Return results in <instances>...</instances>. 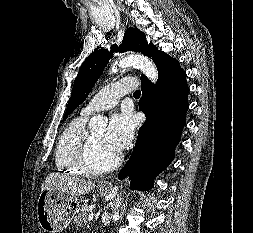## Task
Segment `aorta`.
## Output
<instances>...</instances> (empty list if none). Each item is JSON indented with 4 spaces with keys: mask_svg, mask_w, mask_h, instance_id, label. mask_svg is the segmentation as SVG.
<instances>
[{
    "mask_svg": "<svg viewBox=\"0 0 253 233\" xmlns=\"http://www.w3.org/2000/svg\"><path fill=\"white\" fill-rule=\"evenodd\" d=\"M137 67L139 68L142 73L148 77L152 82H156L158 79V71L152 62L148 57L141 55V54H132L128 55L124 58H122L120 61H117L113 64L112 68L110 69L109 73L113 74L118 72L121 68H127V67ZM107 120L100 115L93 116L88 124V127L90 130L94 131L97 129H101L106 127ZM122 198L118 197L115 201V208L117 209L121 204ZM118 213L116 210L112 214V219H117Z\"/></svg>",
    "mask_w": 253,
    "mask_h": 233,
    "instance_id": "1",
    "label": "aorta"
}]
</instances>
